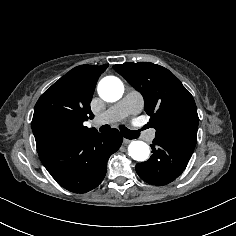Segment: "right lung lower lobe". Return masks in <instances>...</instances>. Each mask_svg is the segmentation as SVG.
Wrapping results in <instances>:
<instances>
[{"instance_id": "98d812e1", "label": "right lung lower lobe", "mask_w": 236, "mask_h": 236, "mask_svg": "<svg viewBox=\"0 0 236 236\" xmlns=\"http://www.w3.org/2000/svg\"><path fill=\"white\" fill-rule=\"evenodd\" d=\"M123 141L117 129L68 138L38 152L51 176L65 189L85 193L97 187L105 177L107 160Z\"/></svg>"}]
</instances>
